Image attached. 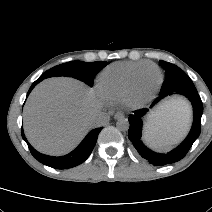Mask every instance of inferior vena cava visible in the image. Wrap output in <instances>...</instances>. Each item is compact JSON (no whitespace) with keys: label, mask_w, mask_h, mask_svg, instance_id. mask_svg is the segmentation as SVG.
I'll list each match as a JSON object with an SVG mask.
<instances>
[{"label":"inferior vena cava","mask_w":212,"mask_h":212,"mask_svg":"<svg viewBox=\"0 0 212 212\" xmlns=\"http://www.w3.org/2000/svg\"><path fill=\"white\" fill-rule=\"evenodd\" d=\"M109 119V116L104 113L101 112L97 115H95L92 119H91V123L93 127H100L105 125L106 121Z\"/></svg>","instance_id":"inferior-vena-cava-1"}]
</instances>
